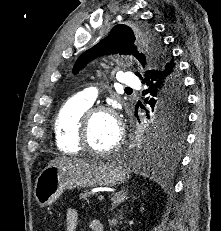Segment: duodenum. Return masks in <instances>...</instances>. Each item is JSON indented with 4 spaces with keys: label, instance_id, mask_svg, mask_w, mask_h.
<instances>
[{
    "label": "duodenum",
    "instance_id": "duodenum-1",
    "mask_svg": "<svg viewBox=\"0 0 221 231\" xmlns=\"http://www.w3.org/2000/svg\"><path fill=\"white\" fill-rule=\"evenodd\" d=\"M92 231H101V229L99 227H97V226H93Z\"/></svg>",
    "mask_w": 221,
    "mask_h": 231
}]
</instances>
